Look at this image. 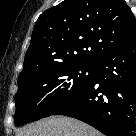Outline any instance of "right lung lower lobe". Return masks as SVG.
<instances>
[{
	"mask_svg": "<svg viewBox=\"0 0 136 136\" xmlns=\"http://www.w3.org/2000/svg\"><path fill=\"white\" fill-rule=\"evenodd\" d=\"M51 115L79 119L106 136H135L136 38L97 60L88 86Z\"/></svg>",
	"mask_w": 136,
	"mask_h": 136,
	"instance_id": "1",
	"label": "right lung lower lobe"
}]
</instances>
